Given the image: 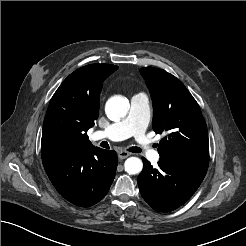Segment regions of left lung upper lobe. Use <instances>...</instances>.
Segmentation results:
<instances>
[{
	"label": "left lung upper lobe",
	"mask_w": 246,
	"mask_h": 246,
	"mask_svg": "<svg viewBox=\"0 0 246 246\" xmlns=\"http://www.w3.org/2000/svg\"><path fill=\"white\" fill-rule=\"evenodd\" d=\"M140 72L153 101V129L167 133L158 147L160 157L209 162L207 126L184 84L162 69L144 67Z\"/></svg>",
	"instance_id": "5c2ea615"
}]
</instances>
